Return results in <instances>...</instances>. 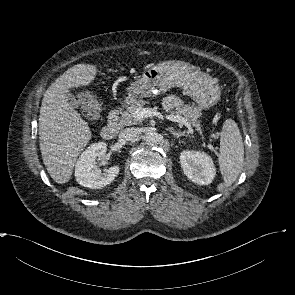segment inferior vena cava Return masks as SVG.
Returning <instances> with one entry per match:
<instances>
[{"instance_id": "inferior-vena-cava-1", "label": "inferior vena cava", "mask_w": 295, "mask_h": 295, "mask_svg": "<svg viewBox=\"0 0 295 295\" xmlns=\"http://www.w3.org/2000/svg\"><path fill=\"white\" fill-rule=\"evenodd\" d=\"M139 134V128L131 127L122 130L119 134V138L122 141H133L139 136Z\"/></svg>"}]
</instances>
